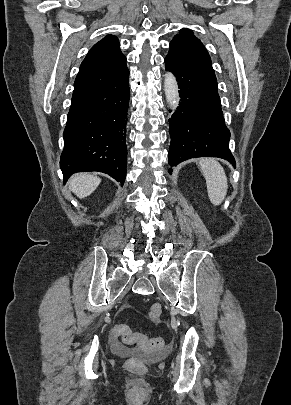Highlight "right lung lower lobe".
Wrapping results in <instances>:
<instances>
[{"label": "right lung lower lobe", "instance_id": "right-lung-lower-lobe-1", "mask_svg": "<svg viewBox=\"0 0 291 405\" xmlns=\"http://www.w3.org/2000/svg\"><path fill=\"white\" fill-rule=\"evenodd\" d=\"M129 71L73 94L60 168L64 183L76 172L99 171L124 184Z\"/></svg>", "mask_w": 291, "mask_h": 405}]
</instances>
